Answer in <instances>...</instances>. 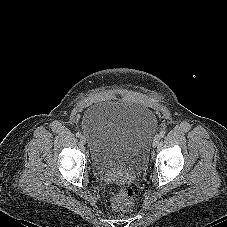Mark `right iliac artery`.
<instances>
[{
  "instance_id": "right-iliac-artery-1",
  "label": "right iliac artery",
  "mask_w": 227,
  "mask_h": 227,
  "mask_svg": "<svg viewBox=\"0 0 227 227\" xmlns=\"http://www.w3.org/2000/svg\"><path fill=\"white\" fill-rule=\"evenodd\" d=\"M76 136H77V137H80V136H81V133H80V132H77V133H76Z\"/></svg>"
}]
</instances>
